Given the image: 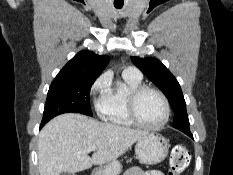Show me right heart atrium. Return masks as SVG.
<instances>
[{
    "label": "right heart atrium",
    "instance_id": "obj_1",
    "mask_svg": "<svg viewBox=\"0 0 233 175\" xmlns=\"http://www.w3.org/2000/svg\"><path fill=\"white\" fill-rule=\"evenodd\" d=\"M109 86V81L106 76L102 75L98 77L90 88V94L94 98L100 96L107 90Z\"/></svg>",
    "mask_w": 233,
    "mask_h": 175
}]
</instances>
